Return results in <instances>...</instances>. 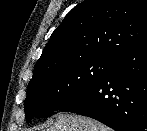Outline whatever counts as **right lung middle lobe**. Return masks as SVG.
<instances>
[{"label": "right lung middle lobe", "instance_id": "right-lung-middle-lobe-1", "mask_svg": "<svg viewBox=\"0 0 147 131\" xmlns=\"http://www.w3.org/2000/svg\"><path fill=\"white\" fill-rule=\"evenodd\" d=\"M115 60L88 58L73 61L32 77L25 100L26 121L34 115L62 109L95 86Z\"/></svg>", "mask_w": 147, "mask_h": 131}]
</instances>
